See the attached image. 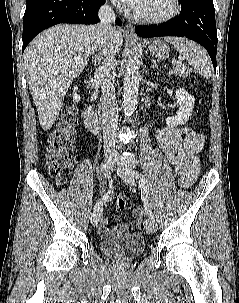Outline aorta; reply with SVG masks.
<instances>
[{
  "instance_id": "762f6f07",
  "label": "aorta",
  "mask_w": 239,
  "mask_h": 303,
  "mask_svg": "<svg viewBox=\"0 0 239 303\" xmlns=\"http://www.w3.org/2000/svg\"><path fill=\"white\" fill-rule=\"evenodd\" d=\"M140 60L137 56H131L127 60L125 75L123 80V113L125 118H130L136 111L138 105Z\"/></svg>"
}]
</instances>
